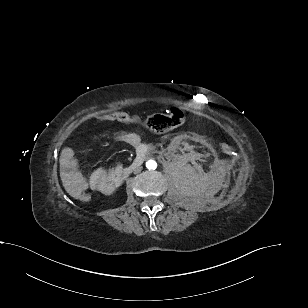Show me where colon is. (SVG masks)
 Segmentation results:
<instances>
[{
    "label": "colon",
    "mask_w": 308,
    "mask_h": 308,
    "mask_svg": "<svg viewBox=\"0 0 308 308\" xmlns=\"http://www.w3.org/2000/svg\"><path fill=\"white\" fill-rule=\"evenodd\" d=\"M108 121H119L124 123H136L144 126L155 133H163L179 127L184 122L182 111L172 108L164 113H156L147 117H140L126 112H115L104 117ZM222 151L228 155L234 153V149L227 143L221 145ZM75 198L81 202L87 203L91 200L88 191H83L75 195Z\"/></svg>",
    "instance_id": "obj_1"
}]
</instances>
